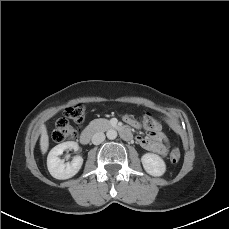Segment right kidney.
Returning <instances> with one entry per match:
<instances>
[{
    "mask_svg": "<svg viewBox=\"0 0 229 229\" xmlns=\"http://www.w3.org/2000/svg\"><path fill=\"white\" fill-rule=\"evenodd\" d=\"M78 148V144L73 141L63 142L52 148L47 157V167L54 178L65 180L78 173L83 164V158L81 156H75L68 163H64V160L59 158L66 149L78 150Z\"/></svg>",
    "mask_w": 229,
    "mask_h": 229,
    "instance_id": "1",
    "label": "right kidney"
}]
</instances>
